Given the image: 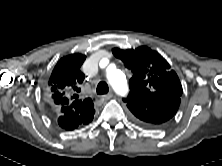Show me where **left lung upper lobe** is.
<instances>
[{"label": "left lung upper lobe", "instance_id": "1", "mask_svg": "<svg viewBox=\"0 0 222 166\" xmlns=\"http://www.w3.org/2000/svg\"><path fill=\"white\" fill-rule=\"evenodd\" d=\"M112 53L133 73L129 80L130 93L123 99L124 102L127 103L131 96L155 100L160 95H182L177 74L170 70L168 62L156 51L141 46L126 50L113 48Z\"/></svg>", "mask_w": 222, "mask_h": 166}]
</instances>
